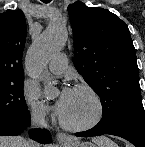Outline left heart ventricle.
Listing matches in <instances>:
<instances>
[{
	"label": "left heart ventricle",
	"instance_id": "1",
	"mask_svg": "<svg viewBox=\"0 0 145 147\" xmlns=\"http://www.w3.org/2000/svg\"><path fill=\"white\" fill-rule=\"evenodd\" d=\"M95 114V104L85 91L73 90L69 104L62 115L70 124H82L89 121Z\"/></svg>",
	"mask_w": 145,
	"mask_h": 147
}]
</instances>
